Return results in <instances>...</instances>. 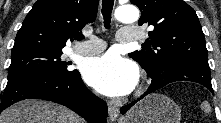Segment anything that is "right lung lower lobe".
<instances>
[{
  "mask_svg": "<svg viewBox=\"0 0 221 123\" xmlns=\"http://www.w3.org/2000/svg\"><path fill=\"white\" fill-rule=\"evenodd\" d=\"M24 99H43L62 104L89 123L107 121V104L87 89L78 71L64 77L29 73L9 78L0 112Z\"/></svg>",
  "mask_w": 221,
  "mask_h": 123,
  "instance_id": "1",
  "label": "right lung lower lobe"
}]
</instances>
